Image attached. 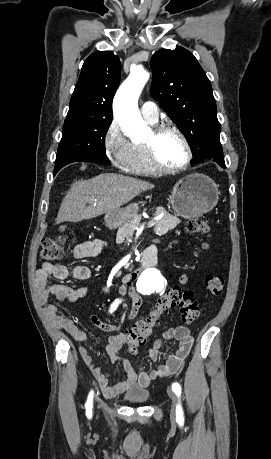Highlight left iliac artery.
<instances>
[{"mask_svg": "<svg viewBox=\"0 0 271 459\" xmlns=\"http://www.w3.org/2000/svg\"><path fill=\"white\" fill-rule=\"evenodd\" d=\"M172 390L174 391V393L178 397H180V395H181V386L178 383H173L172 384ZM176 417H180V418L183 419V410H182V406H181L180 403L177 405Z\"/></svg>", "mask_w": 271, "mask_h": 459, "instance_id": "1", "label": "left iliac artery"}]
</instances>
